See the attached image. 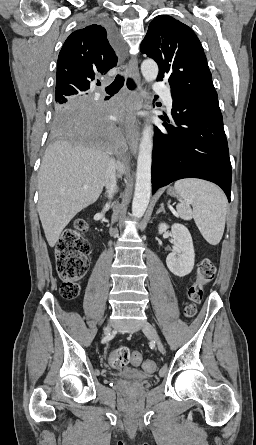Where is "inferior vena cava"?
<instances>
[{
  "mask_svg": "<svg viewBox=\"0 0 256 445\" xmlns=\"http://www.w3.org/2000/svg\"><path fill=\"white\" fill-rule=\"evenodd\" d=\"M116 168L117 163L114 158H109L108 167L105 175L104 185L107 189L108 197L111 199L116 192Z\"/></svg>",
  "mask_w": 256,
  "mask_h": 445,
  "instance_id": "602c4592",
  "label": "inferior vena cava"
}]
</instances>
